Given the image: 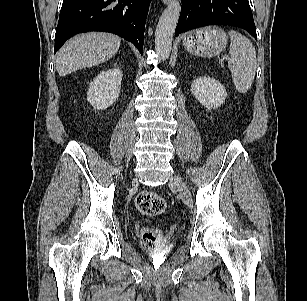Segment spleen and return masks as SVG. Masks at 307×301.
Listing matches in <instances>:
<instances>
[{"instance_id":"spleen-1","label":"spleen","mask_w":307,"mask_h":301,"mask_svg":"<svg viewBox=\"0 0 307 301\" xmlns=\"http://www.w3.org/2000/svg\"><path fill=\"white\" fill-rule=\"evenodd\" d=\"M230 59L228 66L233 83L240 93H246L254 80L256 73V51L251 41L241 33L230 30Z\"/></svg>"}]
</instances>
